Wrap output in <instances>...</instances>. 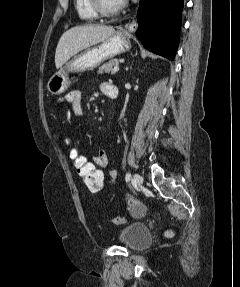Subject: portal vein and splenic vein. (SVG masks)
<instances>
[{
	"label": "portal vein and splenic vein",
	"mask_w": 240,
	"mask_h": 287,
	"mask_svg": "<svg viewBox=\"0 0 240 287\" xmlns=\"http://www.w3.org/2000/svg\"><path fill=\"white\" fill-rule=\"evenodd\" d=\"M113 70H114V72H118L119 71V66H115Z\"/></svg>",
	"instance_id": "1"
}]
</instances>
